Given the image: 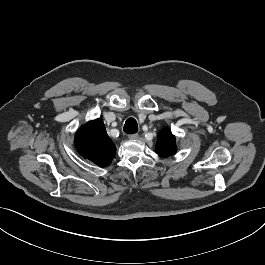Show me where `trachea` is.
Wrapping results in <instances>:
<instances>
[{
  "mask_svg": "<svg viewBox=\"0 0 265 265\" xmlns=\"http://www.w3.org/2000/svg\"><path fill=\"white\" fill-rule=\"evenodd\" d=\"M123 130L127 134H135L138 131L137 121L134 118L127 119Z\"/></svg>",
  "mask_w": 265,
  "mask_h": 265,
  "instance_id": "1",
  "label": "trachea"
}]
</instances>
